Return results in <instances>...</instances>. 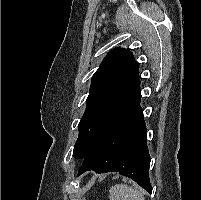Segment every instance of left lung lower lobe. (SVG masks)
<instances>
[{"mask_svg":"<svg viewBox=\"0 0 201 200\" xmlns=\"http://www.w3.org/2000/svg\"><path fill=\"white\" fill-rule=\"evenodd\" d=\"M140 84L107 116L89 143L78 175L119 172L152 192L147 130L140 107Z\"/></svg>","mask_w":201,"mask_h":200,"instance_id":"left-lung-lower-lobe-1","label":"left lung lower lobe"}]
</instances>
